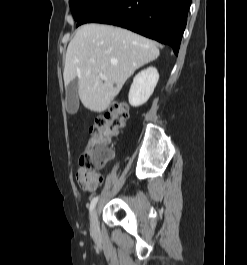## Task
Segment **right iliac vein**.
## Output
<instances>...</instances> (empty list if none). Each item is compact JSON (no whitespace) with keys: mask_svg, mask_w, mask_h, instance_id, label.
<instances>
[{"mask_svg":"<svg viewBox=\"0 0 247 265\" xmlns=\"http://www.w3.org/2000/svg\"><path fill=\"white\" fill-rule=\"evenodd\" d=\"M91 233L93 235H98L99 233L98 216L96 209L93 210L91 215Z\"/></svg>","mask_w":247,"mask_h":265,"instance_id":"right-iliac-vein-1","label":"right iliac vein"}]
</instances>
